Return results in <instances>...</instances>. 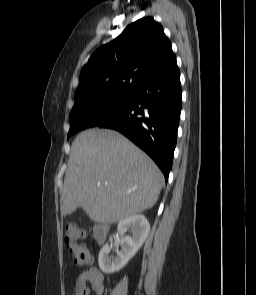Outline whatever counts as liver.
Wrapping results in <instances>:
<instances>
[{
    "mask_svg": "<svg viewBox=\"0 0 256 295\" xmlns=\"http://www.w3.org/2000/svg\"><path fill=\"white\" fill-rule=\"evenodd\" d=\"M163 184L153 160L123 135L89 129L72 144L61 214L82 207L94 222L116 223L152 208Z\"/></svg>",
    "mask_w": 256,
    "mask_h": 295,
    "instance_id": "obj_1",
    "label": "liver"
}]
</instances>
